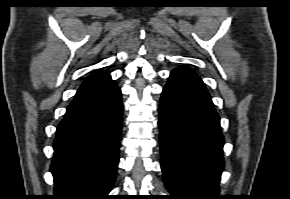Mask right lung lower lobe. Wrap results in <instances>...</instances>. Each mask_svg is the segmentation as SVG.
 <instances>
[{
	"label": "right lung lower lobe",
	"mask_w": 290,
	"mask_h": 199,
	"mask_svg": "<svg viewBox=\"0 0 290 199\" xmlns=\"http://www.w3.org/2000/svg\"><path fill=\"white\" fill-rule=\"evenodd\" d=\"M122 107L113 80L76 93L53 143L52 199H109L119 161Z\"/></svg>",
	"instance_id": "98d812e1"
}]
</instances>
